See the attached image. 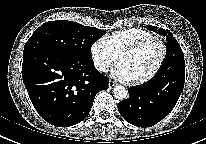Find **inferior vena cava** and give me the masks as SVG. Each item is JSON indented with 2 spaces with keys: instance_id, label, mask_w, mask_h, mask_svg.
I'll list each match as a JSON object with an SVG mask.
<instances>
[{
  "instance_id": "inferior-vena-cava-1",
  "label": "inferior vena cava",
  "mask_w": 206,
  "mask_h": 144,
  "mask_svg": "<svg viewBox=\"0 0 206 144\" xmlns=\"http://www.w3.org/2000/svg\"><path fill=\"white\" fill-rule=\"evenodd\" d=\"M100 70H101V71H105V67H101Z\"/></svg>"
}]
</instances>
